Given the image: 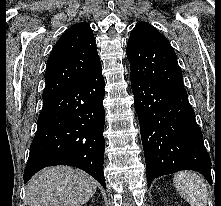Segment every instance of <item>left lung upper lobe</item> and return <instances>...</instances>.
Returning a JSON list of instances; mask_svg holds the SVG:
<instances>
[{"label": "left lung upper lobe", "instance_id": "5c2ea615", "mask_svg": "<svg viewBox=\"0 0 221 206\" xmlns=\"http://www.w3.org/2000/svg\"><path fill=\"white\" fill-rule=\"evenodd\" d=\"M130 75L166 89L186 93L176 53L152 25L138 22L127 44Z\"/></svg>", "mask_w": 221, "mask_h": 206}]
</instances>
